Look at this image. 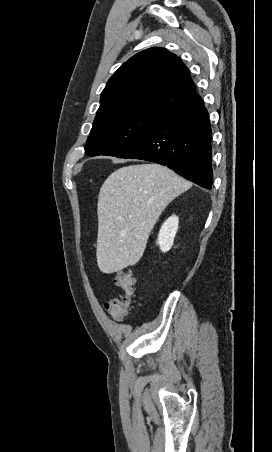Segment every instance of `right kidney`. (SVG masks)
I'll return each instance as SVG.
<instances>
[{
  "label": "right kidney",
  "mask_w": 272,
  "mask_h": 452,
  "mask_svg": "<svg viewBox=\"0 0 272 452\" xmlns=\"http://www.w3.org/2000/svg\"><path fill=\"white\" fill-rule=\"evenodd\" d=\"M178 224V216L172 215L161 226L158 234L157 244L159 245L162 252H167L171 249L178 230Z\"/></svg>",
  "instance_id": "1"
}]
</instances>
